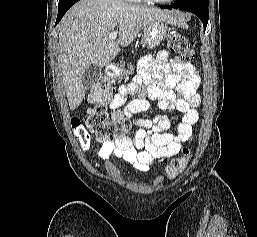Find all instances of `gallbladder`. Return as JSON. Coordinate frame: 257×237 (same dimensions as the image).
Segmentation results:
<instances>
[{
	"instance_id": "1",
	"label": "gallbladder",
	"mask_w": 257,
	"mask_h": 237,
	"mask_svg": "<svg viewBox=\"0 0 257 237\" xmlns=\"http://www.w3.org/2000/svg\"><path fill=\"white\" fill-rule=\"evenodd\" d=\"M101 69L97 65H90L84 72L82 83L85 89H90L98 81Z\"/></svg>"
}]
</instances>
